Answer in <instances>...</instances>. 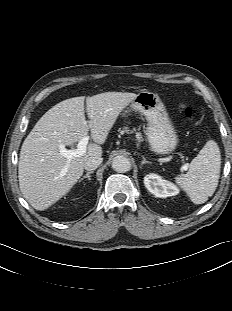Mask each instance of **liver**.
Masks as SVG:
<instances>
[{
    "mask_svg": "<svg viewBox=\"0 0 232 311\" xmlns=\"http://www.w3.org/2000/svg\"><path fill=\"white\" fill-rule=\"evenodd\" d=\"M136 96L105 92L86 99L74 97L59 102L38 120L22 144L18 163L19 187L33 208L46 210L69 192L83 175L86 160L102 155L100 145ZM85 100L89 121L85 119ZM89 130L94 143L88 144L83 155L68 160L60 154L61 144L73 145Z\"/></svg>",
    "mask_w": 232,
    "mask_h": 311,
    "instance_id": "1",
    "label": "liver"
}]
</instances>
